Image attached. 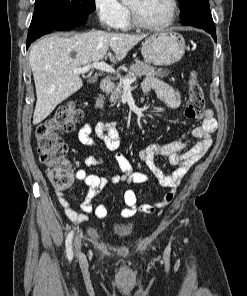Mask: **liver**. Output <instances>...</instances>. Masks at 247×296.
<instances>
[{"label":"liver","mask_w":247,"mask_h":296,"mask_svg":"<svg viewBox=\"0 0 247 296\" xmlns=\"http://www.w3.org/2000/svg\"><path fill=\"white\" fill-rule=\"evenodd\" d=\"M145 37L92 30L71 37L47 36L34 44L29 53L37 95L33 124L46 119L57 105L82 87V79L74 69L107 56L117 63ZM109 48L114 55L108 52Z\"/></svg>","instance_id":"1"}]
</instances>
